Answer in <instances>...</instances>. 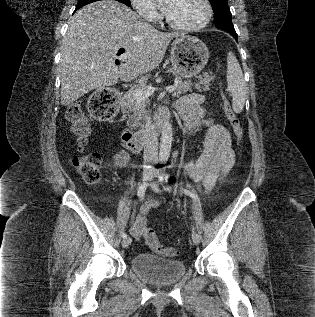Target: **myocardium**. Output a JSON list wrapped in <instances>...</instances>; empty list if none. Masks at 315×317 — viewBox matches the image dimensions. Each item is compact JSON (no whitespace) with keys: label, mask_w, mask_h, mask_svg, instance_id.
<instances>
[{"label":"myocardium","mask_w":315,"mask_h":317,"mask_svg":"<svg viewBox=\"0 0 315 317\" xmlns=\"http://www.w3.org/2000/svg\"><path fill=\"white\" fill-rule=\"evenodd\" d=\"M204 6H205V17L204 19L198 23V24H195V25H181V24H178L176 22H174L168 15L167 13L165 14V21L166 23L172 27L173 29H176V30H180V31H188V32H191V31H198V30H201L203 28H205L209 22L211 21V18H212V15H213V9H212V6H211V3L209 0H202Z\"/></svg>","instance_id":"obj_1"}]
</instances>
